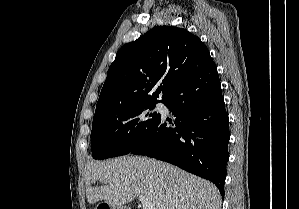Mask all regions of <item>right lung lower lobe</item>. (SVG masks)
Wrapping results in <instances>:
<instances>
[{"mask_svg": "<svg viewBox=\"0 0 299 209\" xmlns=\"http://www.w3.org/2000/svg\"><path fill=\"white\" fill-rule=\"evenodd\" d=\"M163 103L175 121L169 126L160 117L130 153L145 154L206 178L224 197L230 133L217 71L190 75Z\"/></svg>", "mask_w": 299, "mask_h": 209, "instance_id": "98d812e1", "label": "right lung lower lobe"}]
</instances>
